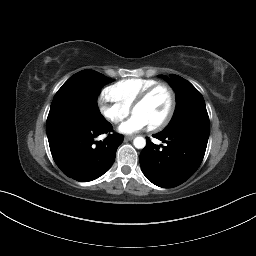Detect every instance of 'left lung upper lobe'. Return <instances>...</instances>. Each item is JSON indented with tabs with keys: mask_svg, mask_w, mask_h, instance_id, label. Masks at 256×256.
<instances>
[{
	"mask_svg": "<svg viewBox=\"0 0 256 256\" xmlns=\"http://www.w3.org/2000/svg\"><path fill=\"white\" fill-rule=\"evenodd\" d=\"M176 90V109L168 126L161 131L170 133L191 128L209 134V117L201 93L184 78L170 74L161 75Z\"/></svg>",
	"mask_w": 256,
	"mask_h": 256,
	"instance_id": "1",
	"label": "left lung upper lobe"
}]
</instances>
